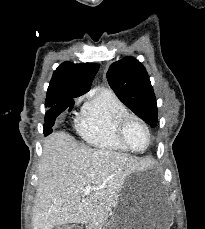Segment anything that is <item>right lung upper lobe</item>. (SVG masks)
<instances>
[{
    "label": "right lung upper lobe",
    "mask_w": 205,
    "mask_h": 229,
    "mask_svg": "<svg viewBox=\"0 0 205 229\" xmlns=\"http://www.w3.org/2000/svg\"><path fill=\"white\" fill-rule=\"evenodd\" d=\"M98 68L99 65L95 63L61 64L54 71L45 106L55 105L88 92Z\"/></svg>",
    "instance_id": "right-lung-upper-lobe-1"
}]
</instances>
